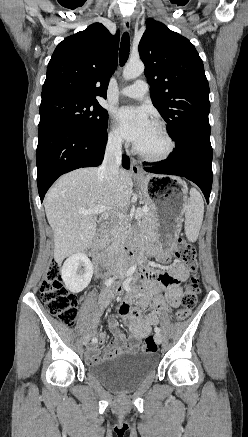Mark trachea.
<instances>
[{
  "label": "trachea",
  "mask_w": 248,
  "mask_h": 437,
  "mask_svg": "<svg viewBox=\"0 0 248 437\" xmlns=\"http://www.w3.org/2000/svg\"><path fill=\"white\" fill-rule=\"evenodd\" d=\"M130 52V37L127 32H125L122 36L121 43H120V52H119V60H120V66H123L128 57Z\"/></svg>",
  "instance_id": "1"
}]
</instances>
